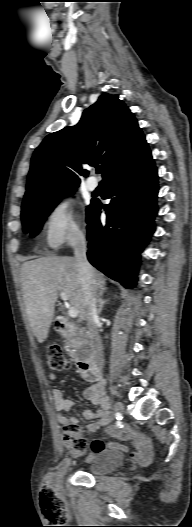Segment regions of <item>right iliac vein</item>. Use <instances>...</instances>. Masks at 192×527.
<instances>
[{"mask_svg": "<svg viewBox=\"0 0 192 527\" xmlns=\"http://www.w3.org/2000/svg\"><path fill=\"white\" fill-rule=\"evenodd\" d=\"M114 409H115L116 412L121 413L124 410V406H123V404L121 402H116L114 404Z\"/></svg>", "mask_w": 192, "mask_h": 527, "instance_id": "right-iliac-vein-1", "label": "right iliac vein"}]
</instances>
